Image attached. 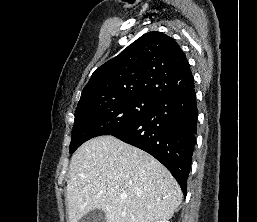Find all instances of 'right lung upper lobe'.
<instances>
[{"instance_id":"right-lung-upper-lobe-1","label":"right lung upper lobe","mask_w":257,"mask_h":222,"mask_svg":"<svg viewBox=\"0 0 257 222\" xmlns=\"http://www.w3.org/2000/svg\"><path fill=\"white\" fill-rule=\"evenodd\" d=\"M193 85L190 65L180 46L173 38L153 31L95 70L78 104L98 97L161 100Z\"/></svg>"}]
</instances>
